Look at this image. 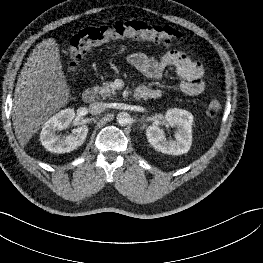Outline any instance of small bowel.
<instances>
[{
    "instance_id": "c3829d8e",
    "label": "small bowel",
    "mask_w": 263,
    "mask_h": 263,
    "mask_svg": "<svg viewBox=\"0 0 263 263\" xmlns=\"http://www.w3.org/2000/svg\"><path fill=\"white\" fill-rule=\"evenodd\" d=\"M127 60L137 71L147 78H159L168 67L175 68L177 75L181 78V91L189 96H197L205 89L202 79V65L192 59V57L179 49L167 51L159 59L151 58L144 53L135 52L128 55ZM150 93L148 98H158L161 96L159 90L140 87Z\"/></svg>"
}]
</instances>
